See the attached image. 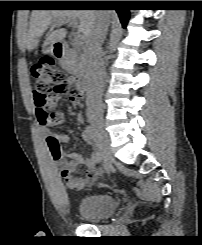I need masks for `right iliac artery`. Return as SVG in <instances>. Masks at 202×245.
Masks as SVG:
<instances>
[{"instance_id":"obj_1","label":"right iliac artery","mask_w":202,"mask_h":245,"mask_svg":"<svg viewBox=\"0 0 202 245\" xmlns=\"http://www.w3.org/2000/svg\"><path fill=\"white\" fill-rule=\"evenodd\" d=\"M85 131L87 132L89 137L92 139V141L96 145V148H97L96 160H97V162H100L103 159V157H104V152H103V148H102L101 144L99 143V140H98V137H97V133H96L94 127L91 126V125H87L85 127Z\"/></svg>"}]
</instances>
